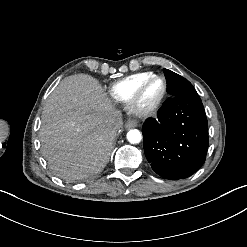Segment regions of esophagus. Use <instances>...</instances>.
Listing matches in <instances>:
<instances>
[{"label": "esophagus", "mask_w": 247, "mask_h": 247, "mask_svg": "<svg viewBox=\"0 0 247 247\" xmlns=\"http://www.w3.org/2000/svg\"><path fill=\"white\" fill-rule=\"evenodd\" d=\"M138 126V122L134 119H128L125 123L126 129L135 128Z\"/></svg>", "instance_id": "34e87169"}]
</instances>
